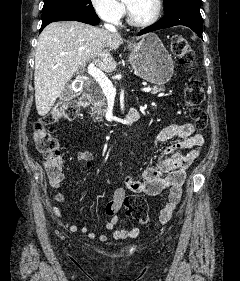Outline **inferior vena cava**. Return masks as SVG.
<instances>
[{"label":"inferior vena cava","mask_w":240,"mask_h":281,"mask_svg":"<svg viewBox=\"0 0 240 281\" xmlns=\"http://www.w3.org/2000/svg\"><path fill=\"white\" fill-rule=\"evenodd\" d=\"M104 26L108 32L113 33V34L117 33V29L115 26L110 25V24H105Z\"/></svg>","instance_id":"602c4592"}]
</instances>
